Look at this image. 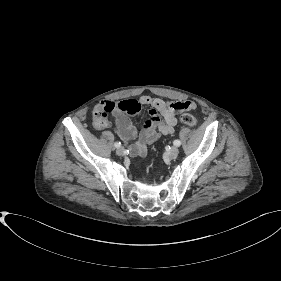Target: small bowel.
I'll list each match as a JSON object with an SVG mask.
<instances>
[{"mask_svg":"<svg viewBox=\"0 0 281 281\" xmlns=\"http://www.w3.org/2000/svg\"><path fill=\"white\" fill-rule=\"evenodd\" d=\"M131 102L137 103L140 107H150L148 111L149 118L144 123L139 138L129 146V152L132 156L144 155L147 151V147L153 144L160 136L172 135L177 124V113L195 108V104L190 101H164L160 98H154L147 95L142 96L139 101L126 100L120 103L102 101L98 103L94 108V113L108 105L123 104L124 108L117 109L114 113L117 115L118 134L126 142L134 140L137 134L136 128L128 118L127 114L134 115L140 111L138 110L133 113L128 112L127 105ZM187 102L191 103L190 108L183 107ZM159 115L162 116L163 120L160 119Z\"/></svg>","mask_w":281,"mask_h":281,"instance_id":"c3829d8e","label":"small bowel"}]
</instances>
